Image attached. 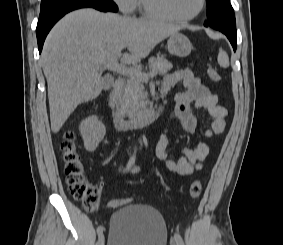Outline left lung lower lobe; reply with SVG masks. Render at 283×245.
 <instances>
[{"instance_id":"1","label":"left lung lower lobe","mask_w":283,"mask_h":245,"mask_svg":"<svg viewBox=\"0 0 283 245\" xmlns=\"http://www.w3.org/2000/svg\"><path fill=\"white\" fill-rule=\"evenodd\" d=\"M222 33H224L227 36V38L231 42L233 49L235 51L236 47H237L236 34H231V33H227V32H222Z\"/></svg>"}]
</instances>
